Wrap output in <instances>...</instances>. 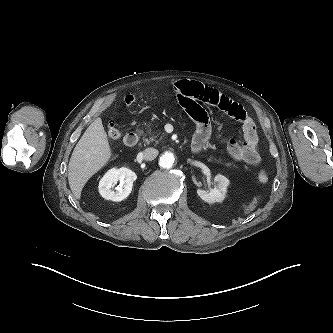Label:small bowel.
<instances>
[{
	"label": "small bowel",
	"instance_id": "small-bowel-1",
	"mask_svg": "<svg viewBox=\"0 0 333 333\" xmlns=\"http://www.w3.org/2000/svg\"><path fill=\"white\" fill-rule=\"evenodd\" d=\"M177 98L196 125L192 146H205L211 136V123L201 103L217 107L242 124L244 140L231 139L227 151L231 157L249 165L260 163L259 138L254 121L238 101L215 88L195 81H179L174 86Z\"/></svg>",
	"mask_w": 333,
	"mask_h": 333
}]
</instances>
